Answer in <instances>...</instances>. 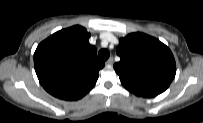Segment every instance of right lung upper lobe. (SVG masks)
<instances>
[{
    "label": "right lung upper lobe",
    "instance_id": "obj_1",
    "mask_svg": "<svg viewBox=\"0 0 203 123\" xmlns=\"http://www.w3.org/2000/svg\"><path fill=\"white\" fill-rule=\"evenodd\" d=\"M90 33L82 26L60 30L42 41L34 53L35 72L51 95L77 100L95 85L104 63L90 45Z\"/></svg>",
    "mask_w": 203,
    "mask_h": 123
}]
</instances>
